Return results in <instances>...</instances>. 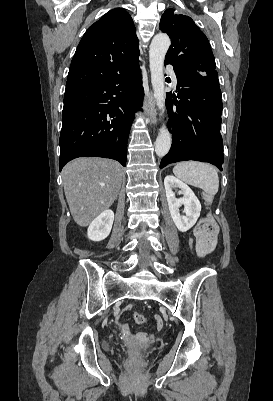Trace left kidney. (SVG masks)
Instances as JSON below:
<instances>
[{
  "mask_svg": "<svg viewBox=\"0 0 273 401\" xmlns=\"http://www.w3.org/2000/svg\"><path fill=\"white\" fill-rule=\"evenodd\" d=\"M164 186L170 215L178 231L186 233L188 229H191V227L195 225L198 217H200L201 205L198 198L185 182H182V180H179L176 176H172V174H167V176H165ZM174 186L180 188L183 194L181 198H175V192L172 190ZM182 205L185 207L183 211L185 215H180L179 209Z\"/></svg>",
  "mask_w": 273,
  "mask_h": 401,
  "instance_id": "5707ae66",
  "label": "left kidney"
}]
</instances>
